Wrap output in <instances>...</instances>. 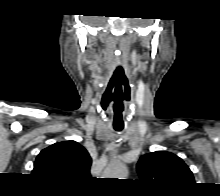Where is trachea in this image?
<instances>
[{
    "instance_id": "obj_1",
    "label": "trachea",
    "mask_w": 220,
    "mask_h": 196,
    "mask_svg": "<svg viewBox=\"0 0 220 196\" xmlns=\"http://www.w3.org/2000/svg\"><path fill=\"white\" fill-rule=\"evenodd\" d=\"M123 128H116L115 127V130H117V131H121Z\"/></svg>"
}]
</instances>
